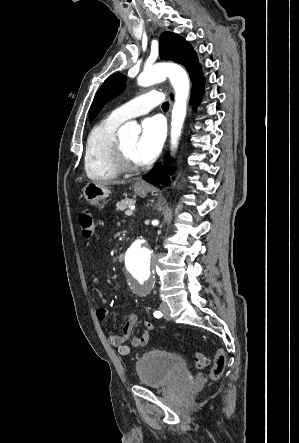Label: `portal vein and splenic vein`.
<instances>
[{
  "label": "portal vein and splenic vein",
  "mask_w": 299,
  "mask_h": 443,
  "mask_svg": "<svg viewBox=\"0 0 299 443\" xmlns=\"http://www.w3.org/2000/svg\"><path fill=\"white\" fill-rule=\"evenodd\" d=\"M133 214V210H127L125 211L126 216H131Z\"/></svg>",
  "instance_id": "portal-vein-and-splenic-vein-1"
}]
</instances>
